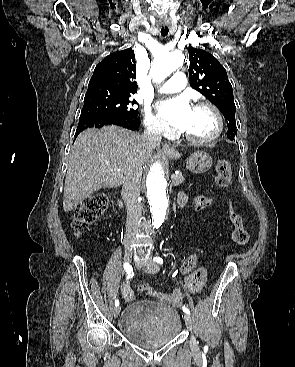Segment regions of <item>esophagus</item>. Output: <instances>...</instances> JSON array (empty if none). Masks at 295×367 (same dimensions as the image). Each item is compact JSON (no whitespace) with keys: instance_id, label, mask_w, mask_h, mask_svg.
<instances>
[{"instance_id":"34e87169","label":"esophagus","mask_w":295,"mask_h":367,"mask_svg":"<svg viewBox=\"0 0 295 367\" xmlns=\"http://www.w3.org/2000/svg\"><path fill=\"white\" fill-rule=\"evenodd\" d=\"M163 149H164V151H166V152H172V151H174V149H173L169 144H167V143H165V144L163 145Z\"/></svg>"}]
</instances>
